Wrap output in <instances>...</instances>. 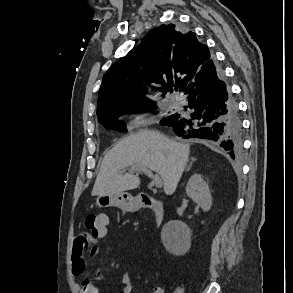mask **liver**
I'll return each instance as SVG.
<instances>
[{
    "label": "liver",
    "mask_w": 293,
    "mask_h": 293,
    "mask_svg": "<svg viewBox=\"0 0 293 293\" xmlns=\"http://www.w3.org/2000/svg\"><path fill=\"white\" fill-rule=\"evenodd\" d=\"M190 146L175 142L159 132L144 130L118 142L103 158L92 196L114 195L136 189L138 175L128 167H146L159 174L164 192L171 195L187 165Z\"/></svg>",
    "instance_id": "1"
}]
</instances>
